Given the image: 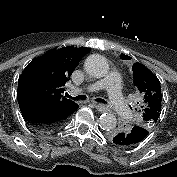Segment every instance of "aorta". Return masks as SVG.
Wrapping results in <instances>:
<instances>
[{
	"label": "aorta",
	"instance_id": "aorta-1",
	"mask_svg": "<svg viewBox=\"0 0 177 177\" xmlns=\"http://www.w3.org/2000/svg\"><path fill=\"white\" fill-rule=\"evenodd\" d=\"M84 69L90 76L102 78L108 73L109 64L102 55L92 54L86 58ZM99 122L103 130L110 131L116 127L117 119L114 114L107 112L100 116Z\"/></svg>",
	"mask_w": 177,
	"mask_h": 177
}]
</instances>
